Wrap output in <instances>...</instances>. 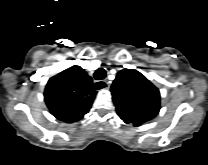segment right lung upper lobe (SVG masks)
Wrapping results in <instances>:
<instances>
[{
  "instance_id": "1",
  "label": "right lung upper lobe",
  "mask_w": 208,
  "mask_h": 165,
  "mask_svg": "<svg viewBox=\"0 0 208 165\" xmlns=\"http://www.w3.org/2000/svg\"><path fill=\"white\" fill-rule=\"evenodd\" d=\"M96 93L85 70L72 66L48 80L44 100L55 118L73 123L89 112Z\"/></svg>"
}]
</instances>
